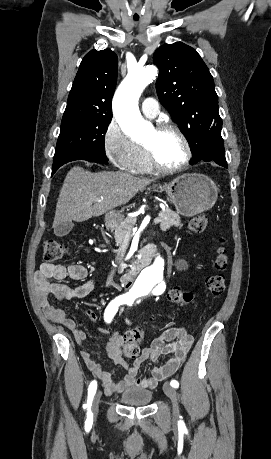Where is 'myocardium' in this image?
I'll return each mask as SVG.
<instances>
[{"label":"myocardium","instance_id":"obj_1","mask_svg":"<svg viewBox=\"0 0 271 459\" xmlns=\"http://www.w3.org/2000/svg\"><path fill=\"white\" fill-rule=\"evenodd\" d=\"M155 130L159 134L169 132V131L176 133L181 138L185 146V156L181 161L177 163H172V164L165 163L160 159V157L158 156V154L156 153L153 147L144 143L147 154L151 162L153 163V165L157 169L161 171H165V172L178 171V170H181L187 167L193 159V148H192L191 142L188 136L186 135V133L177 124L170 122V121L159 124L158 126L155 127Z\"/></svg>","mask_w":271,"mask_h":459}]
</instances>
